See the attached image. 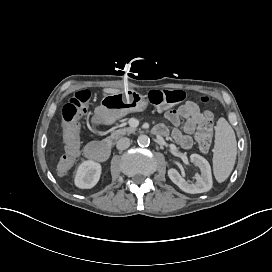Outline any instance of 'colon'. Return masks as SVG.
I'll use <instances>...</instances> for the list:
<instances>
[{
    "label": "colon",
    "mask_w": 272,
    "mask_h": 272,
    "mask_svg": "<svg viewBox=\"0 0 272 272\" xmlns=\"http://www.w3.org/2000/svg\"><path fill=\"white\" fill-rule=\"evenodd\" d=\"M149 100L154 105L156 110L164 108H172L175 103H179L184 99V94L176 90H151L149 92ZM92 94L89 90H81L77 92L71 99L67 101L62 109V145L64 156L62 162L58 165L59 175L63 176L70 167V162L76 161L80 156V150L77 145V126L83 116L86 114L87 104L91 101ZM208 98L202 97L201 102L208 101ZM213 113L206 111L200 118V125L205 127L200 130L196 136V141L199 143L201 150H208L212 142Z\"/></svg>",
    "instance_id": "1"
}]
</instances>
